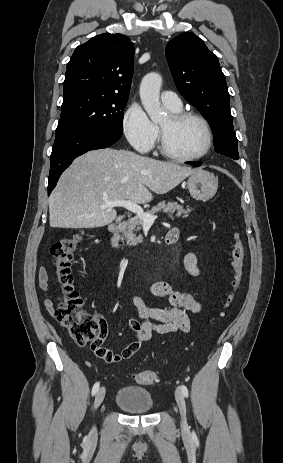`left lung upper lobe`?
Listing matches in <instances>:
<instances>
[{
  "label": "left lung upper lobe",
  "instance_id": "1",
  "mask_svg": "<svg viewBox=\"0 0 283 463\" xmlns=\"http://www.w3.org/2000/svg\"><path fill=\"white\" fill-rule=\"evenodd\" d=\"M166 58L180 94L209 121L215 152L239 159L230 96L217 56L195 34L183 33L167 44Z\"/></svg>",
  "mask_w": 283,
  "mask_h": 463
}]
</instances>
